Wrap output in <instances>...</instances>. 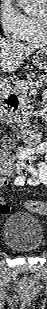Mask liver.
Here are the masks:
<instances>
[{"label": "liver", "mask_w": 47, "mask_h": 309, "mask_svg": "<svg viewBox=\"0 0 47 309\" xmlns=\"http://www.w3.org/2000/svg\"><path fill=\"white\" fill-rule=\"evenodd\" d=\"M41 46L0 38V68L4 72L16 71L27 57Z\"/></svg>", "instance_id": "liver-1"}]
</instances>
